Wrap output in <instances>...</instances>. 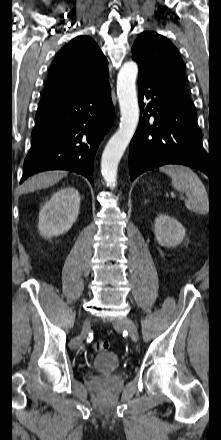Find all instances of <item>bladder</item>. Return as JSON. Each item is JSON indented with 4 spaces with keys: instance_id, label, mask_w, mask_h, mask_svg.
I'll list each match as a JSON object with an SVG mask.
<instances>
[{
    "instance_id": "obj_1",
    "label": "bladder",
    "mask_w": 221,
    "mask_h": 440,
    "mask_svg": "<svg viewBox=\"0 0 221 440\" xmlns=\"http://www.w3.org/2000/svg\"><path fill=\"white\" fill-rule=\"evenodd\" d=\"M120 359L113 352H101L92 361V368L99 372H111L120 367Z\"/></svg>"
}]
</instances>
